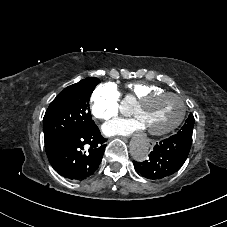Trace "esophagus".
Listing matches in <instances>:
<instances>
[{
    "label": "esophagus",
    "mask_w": 227,
    "mask_h": 227,
    "mask_svg": "<svg viewBox=\"0 0 227 227\" xmlns=\"http://www.w3.org/2000/svg\"><path fill=\"white\" fill-rule=\"evenodd\" d=\"M146 146L148 148H154L156 146V141L154 139H148L146 141Z\"/></svg>",
    "instance_id": "34e87169"
}]
</instances>
